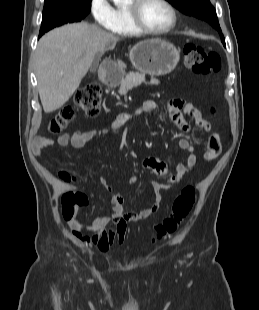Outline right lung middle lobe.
Instances as JSON below:
<instances>
[{
    "label": "right lung middle lobe",
    "mask_w": 259,
    "mask_h": 310,
    "mask_svg": "<svg viewBox=\"0 0 259 310\" xmlns=\"http://www.w3.org/2000/svg\"><path fill=\"white\" fill-rule=\"evenodd\" d=\"M92 0H64L44 3L39 35L66 23L81 21L91 9Z\"/></svg>",
    "instance_id": "dd1d6c3e"
}]
</instances>
